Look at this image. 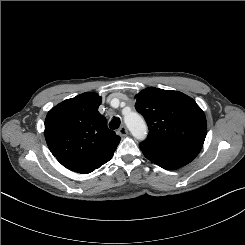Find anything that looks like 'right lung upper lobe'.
<instances>
[{"label":"right lung upper lobe","mask_w":245,"mask_h":245,"mask_svg":"<svg viewBox=\"0 0 245 245\" xmlns=\"http://www.w3.org/2000/svg\"><path fill=\"white\" fill-rule=\"evenodd\" d=\"M101 97L77 95L53 107L45 118V139L56 159L71 171L87 174L108 162L120 137L98 112Z\"/></svg>","instance_id":"right-lung-upper-lobe-1"}]
</instances>
